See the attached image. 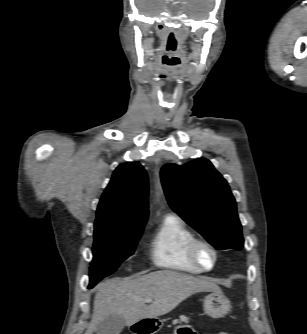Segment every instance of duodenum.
Returning <instances> with one entry per match:
<instances>
[{"mask_svg":"<svg viewBox=\"0 0 307 334\" xmlns=\"http://www.w3.org/2000/svg\"><path fill=\"white\" fill-rule=\"evenodd\" d=\"M135 332L139 333V334H149L152 331H150L149 329L138 328V329L135 330Z\"/></svg>","mask_w":307,"mask_h":334,"instance_id":"410a0bca","label":"duodenum"}]
</instances>
